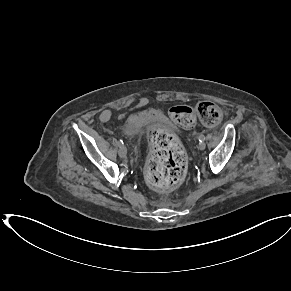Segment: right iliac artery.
I'll use <instances>...</instances> for the list:
<instances>
[{"mask_svg":"<svg viewBox=\"0 0 291 291\" xmlns=\"http://www.w3.org/2000/svg\"><path fill=\"white\" fill-rule=\"evenodd\" d=\"M122 144H123V141L120 140V141L118 142V145H119V146H122Z\"/></svg>","mask_w":291,"mask_h":291,"instance_id":"obj_1","label":"right iliac artery"}]
</instances>
